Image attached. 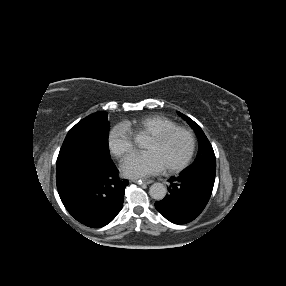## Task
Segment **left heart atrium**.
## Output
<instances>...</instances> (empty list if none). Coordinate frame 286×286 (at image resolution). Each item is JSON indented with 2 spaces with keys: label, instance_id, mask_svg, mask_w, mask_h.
I'll list each match as a JSON object with an SVG mask.
<instances>
[{
  "label": "left heart atrium",
  "instance_id": "obj_1",
  "mask_svg": "<svg viewBox=\"0 0 286 286\" xmlns=\"http://www.w3.org/2000/svg\"><path fill=\"white\" fill-rule=\"evenodd\" d=\"M123 172L134 178L145 177L163 169L151 151L137 152L129 156L122 166Z\"/></svg>",
  "mask_w": 286,
  "mask_h": 286
}]
</instances>
